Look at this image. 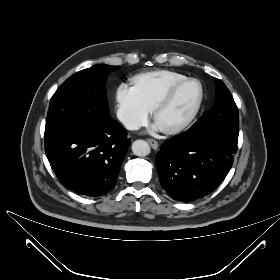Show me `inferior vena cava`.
<instances>
[{
  "mask_svg": "<svg viewBox=\"0 0 280 280\" xmlns=\"http://www.w3.org/2000/svg\"><path fill=\"white\" fill-rule=\"evenodd\" d=\"M119 120L128 130H138L141 127L140 123L137 120L126 114H120Z\"/></svg>",
  "mask_w": 280,
  "mask_h": 280,
  "instance_id": "1",
  "label": "inferior vena cava"
}]
</instances>
